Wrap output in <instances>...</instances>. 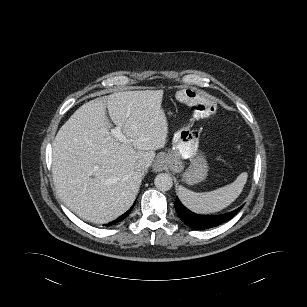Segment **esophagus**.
<instances>
[{
    "instance_id": "34e87169",
    "label": "esophagus",
    "mask_w": 307,
    "mask_h": 307,
    "mask_svg": "<svg viewBox=\"0 0 307 307\" xmlns=\"http://www.w3.org/2000/svg\"><path fill=\"white\" fill-rule=\"evenodd\" d=\"M165 166H166V159H165V157L160 156L156 159V161L153 165V168H154L155 171L160 172L165 168Z\"/></svg>"
}]
</instances>
